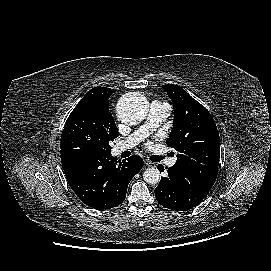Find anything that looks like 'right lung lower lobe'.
Instances as JSON below:
<instances>
[{
  "mask_svg": "<svg viewBox=\"0 0 271 271\" xmlns=\"http://www.w3.org/2000/svg\"><path fill=\"white\" fill-rule=\"evenodd\" d=\"M66 179L80 200L98 209H110L125 200L131 179L142 169L143 160L131 156L117 161L111 153H85L76 150L61 152Z\"/></svg>",
  "mask_w": 271,
  "mask_h": 271,
  "instance_id": "1",
  "label": "right lung lower lobe"
}]
</instances>
